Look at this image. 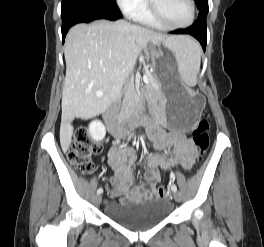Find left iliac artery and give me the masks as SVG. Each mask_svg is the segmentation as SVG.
I'll use <instances>...</instances> for the list:
<instances>
[{"label":"left iliac artery","instance_id":"1","mask_svg":"<svg viewBox=\"0 0 264 247\" xmlns=\"http://www.w3.org/2000/svg\"><path fill=\"white\" fill-rule=\"evenodd\" d=\"M171 190H172L173 192H176V191H177V186H176L175 184H172V185H171Z\"/></svg>","mask_w":264,"mask_h":247}]
</instances>
